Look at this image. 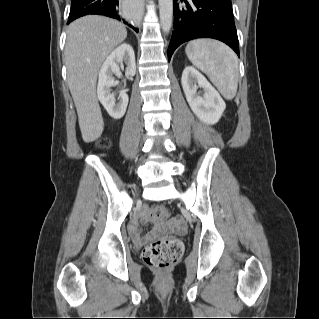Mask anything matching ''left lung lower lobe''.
I'll return each mask as SVG.
<instances>
[{
    "mask_svg": "<svg viewBox=\"0 0 319 319\" xmlns=\"http://www.w3.org/2000/svg\"><path fill=\"white\" fill-rule=\"evenodd\" d=\"M173 0L174 31L168 60L182 43L196 38H214L226 43L239 56V43L231 0Z\"/></svg>",
    "mask_w": 319,
    "mask_h": 319,
    "instance_id": "0a47b994",
    "label": "left lung lower lobe"
}]
</instances>
